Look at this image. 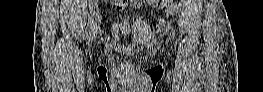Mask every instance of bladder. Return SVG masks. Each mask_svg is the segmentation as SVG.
<instances>
[{"label":"bladder","mask_w":263,"mask_h":92,"mask_svg":"<svg viewBox=\"0 0 263 92\" xmlns=\"http://www.w3.org/2000/svg\"><path fill=\"white\" fill-rule=\"evenodd\" d=\"M121 25H122V24H116L115 27H119V26H121Z\"/></svg>","instance_id":"obj_1"}]
</instances>
